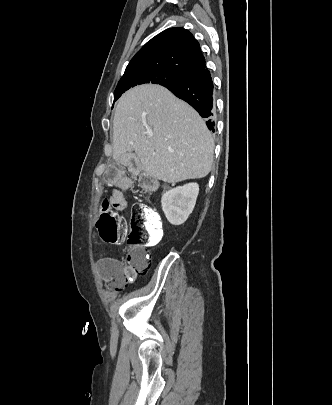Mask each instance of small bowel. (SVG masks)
Listing matches in <instances>:
<instances>
[{"mask_svg":"<svg viewBox=\"0 0 332 405\" xmlns=\"http://www.w3.org/2000/svg\"><path fill=\"white\" fill-rule=\"evenodd\" d=\"M106 172L102 173V186H120L123 180L124 170L122 162H109ZM129 180L135 179L134 173L128 174ZM110 206H113L114 211H125L126 203L123 199V194L116 190L109 199ZM97 267L102 276L111 283L112 286L119 287L125 280L132 276V273H127L120 261L114 258H101L97 261Z\"/></svg>","mask_w":332,"mask_h":405,"instance_id":"small-bowel-1","label":"small bowel"}]
</instances>
